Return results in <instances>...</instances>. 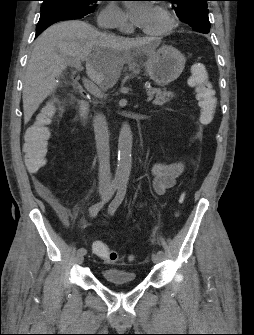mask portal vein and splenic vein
I'll list each match as a JSON object with an SVG mask.
<instances>
[{"mask_svg": "<svg viewBox=\"0 0 254 335\" xmlns=\"http://www.w3.org/2000/svg\"><path fill=\"white\" fill-rule=\"evenodd\" d=\"M67 62L75 67L78 71L82 70V64H81V59L79 57H76L74 59H68ZM83 85L86 88V90L88 92H90L91 94H93L94 96L98 97V98H103L104 97V93L99 89V87L97 85H95L93 82H91L90 80L84 78L83 79ZM153 96L149 95L147 98V102L152 101Z\"/></svg>", "mask_w": 254, "mask_h": 335, "instance_id": "portal-vein-and-splenic-vein-1", "label": "portal vein and splenic vein"}]
</instances>
